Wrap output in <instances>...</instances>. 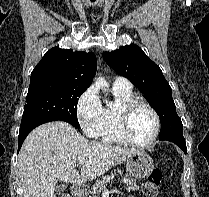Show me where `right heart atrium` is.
I'll return each mask as SVG.
<instances>
[{"label": "right heart atrium", "instance_id": "1", "mask_svg": "<svg viewBox=\"0 0 209 197\" xmlns=\"http://www.w3.org/2000/svg\"><path fill=\"white\" fill-rule=\"evenodd\" d=\"M76 113L84 133L90 137L98 136L104 116V106L94 87L87 88L79 96Z\"/></svg>", "mask_w": 209, "mask_h": 197}]
</instances>
